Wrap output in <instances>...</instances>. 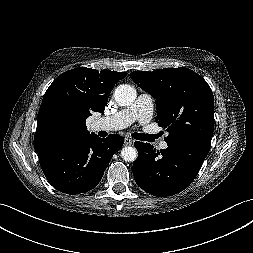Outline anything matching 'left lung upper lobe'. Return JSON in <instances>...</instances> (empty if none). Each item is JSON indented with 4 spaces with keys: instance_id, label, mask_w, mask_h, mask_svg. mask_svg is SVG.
<instances>
[{
    "instance_id": "obj_1",
    "label": "left lung upper lobe",
    "mask_w": 253,
    "mask_h": 253,
    "mask_svg": "<svg viewBox=\"0 0 253 253\" xmlns=\"http://www.w3.org/2000/svg\"><path fill=\"white\" fill-rule=\"evenodd\" d=\"M130 75L156 99V122L167 129L168 145L210 144L214 131V99L204 78L185 67L135 71Z\"/></svg>"
}]
</instances>
